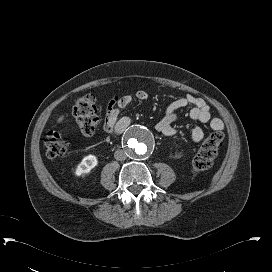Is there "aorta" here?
<instances>
[{
  "label": "aorta",
  "mask_w": 272,
  "mask_h": 272,
  "mask_svg": "<svg viewBox=\"0 0 272 272\" xmlns=\"http://www.w3.org/2000/svg\"><path fill=\"white\" fill-rule=\"evenodd\" d=\"M154 136L144 126L130 127L124 136V145L128 155L134 159L145 158L154 148Z\"/></svg>",
  "instance_id": "obj_1"
}]
</instances>
